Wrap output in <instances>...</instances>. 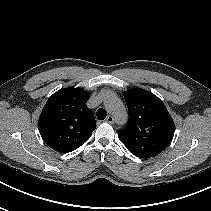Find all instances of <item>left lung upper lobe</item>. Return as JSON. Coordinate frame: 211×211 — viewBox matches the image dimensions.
I'll return each mask as SVG.
<instances>
[{"instance_id":"left-lung-upper-lobe-1","label":"left lung upper lobe","mask_w":211,"mask_h":211,"mask_svg":"<svg viewBox=\"0 0 211 211\" xmlns=\"http://www.w3.org/2000/svg\"><path fill=\"white\" fill-rule=\"evenodd\" d=\"M129 119L118 137L126 148L139 158L161 153L174 136V121L164 103L144 89L124 92Z\"/></svg>"}]
</instances>
